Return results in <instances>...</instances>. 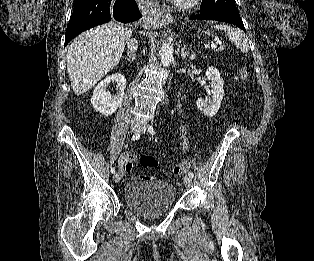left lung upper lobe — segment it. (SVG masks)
Wrapping results in <instances>:
<instances>
[{"label":"left lung upper lobe","mask_w":314,"mask_h":261,"mask_svg":"<svg viewBox=\"0 0 314 261\" xmlns=\"http://www.w3.org/2000/svg\"><path fill=\"white\" fill-rule=\"evenodd\" d=\"M200 12L239 14L233 0H202Z\"/></svg>","instance_id":"1"}]
</instances>
